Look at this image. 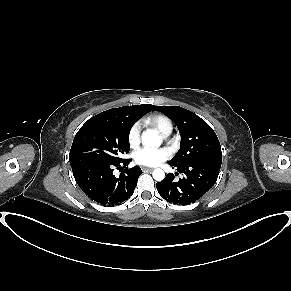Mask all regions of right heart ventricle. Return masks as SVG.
<instances>
[{"label": "right heart ventricle", "mask_w": 291, "mask_h": 291, "mask_svg": "<svg viewBox=\"0 0 291 291\" xmlns=\"http://www.w3.org/2000/svg\"><path fill=\"white\" fill-rule=\"evenodd\" d=\"M146 122L155 127L163 135L170 134L173 129L171 120L163 114H153L146 119Z\"/></svg>", "instance_id": "1"}]
</instances>
